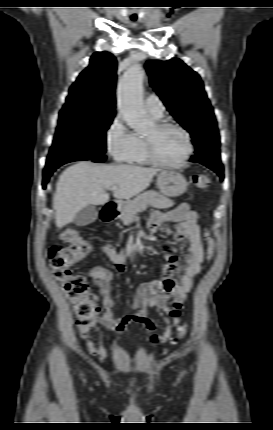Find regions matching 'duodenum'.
<instances>
[{
    "label": "duodenum",
    "mask_w": 273,
    "mask_h": 430,
    "mask_svg": "<svg viewBox=\"0 0 273 430\" xmlns=\"http://www.w3.org/2000/svg\"><path fill=\"white\" fill-rule=\"evenodd\" d=\"M119 215L117 205L114 203L106 204L101 210V220L103 222H110L116 219Z\"/></svg>",
    "instance_id": "410a0bca"
}]
</instances>
